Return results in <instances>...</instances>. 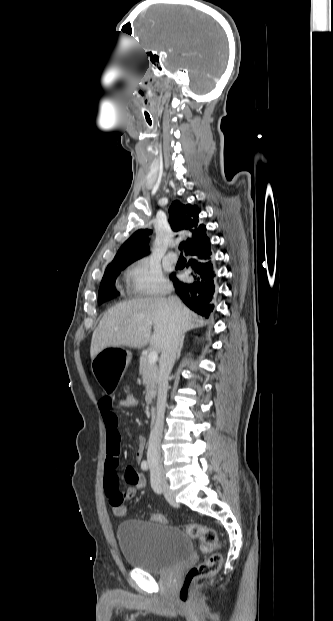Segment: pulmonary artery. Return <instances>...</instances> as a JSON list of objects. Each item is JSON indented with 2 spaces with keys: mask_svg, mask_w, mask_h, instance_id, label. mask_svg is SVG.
<instances>
[{
  "mask_svg": "<svg viewBox=\"0 0 333 621\" xmlns=\"http://www.w3.org/2000/svg\"><path fill=\"white\" fill-rule=\"evenodd\" d=\"M167 258L168 260H170L171 262H176L178 260V255L175 252H168L167 254Z\"/></svg>",
  "mask_w": 333,
  "mask_h": 621,
  "instance_id": "e3ab8cb5",
  "label": "pulmonary artery"
}]
</instances>
